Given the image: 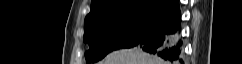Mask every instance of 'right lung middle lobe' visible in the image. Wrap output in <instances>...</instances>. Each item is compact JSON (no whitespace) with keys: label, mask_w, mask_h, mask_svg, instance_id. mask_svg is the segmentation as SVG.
<instances>
[{"label":"right lung middle lobe","mask_w":242,"mask_h":64,"mask_svg":"<svg viewBox=\"0 0 242 64\" xmlns=\"http://www.w3.org/2000/svg\"><path fill=\"white\" fill-rule=\"evenodd\" d=\"M163 16L152 10H131L107 14L85 24L84 42L90 47L85 53L87 64L114 50L137 46Z\"/></svg>","instance_id":"right-lung-middle-lobe-1"}]
</instances>
